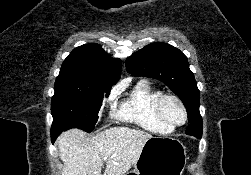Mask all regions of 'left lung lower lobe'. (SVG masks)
<instances>
[{
    "label": "left lung lower lobe",
    "mask_w": 251,
    "mask_h": 175,
    "mask_svg": "<svg viewBox=\"0 0 251 175\" xmlns=\"http://www.w3.org/2000/svg\"><path fill=\"white\" fill-rule=\"evenodd\" d=\"M188 113V120H191V118L194 116L193 112L187 111Z\"/></svg>",
    "instance_id": "obj_1"
}]
</instances>
